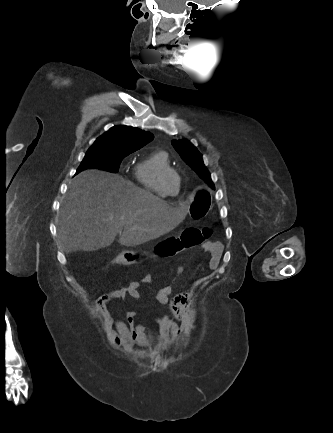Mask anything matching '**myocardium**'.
Returning a JSON list of instances; mask_svg holds the SVG:
<instances>
[{"label": "myocardium", "mask_w": 333, "mask_h": 433, "mask_svg": "<svg viewBox=\"0 0 333 433\" xmlns=\"http://www.w3.org/2000/svg\"><path fill=\"white\" fill-rule=\"evenodd\" d=\"M170 174L175 175L176 178H177V181H178V179H180L179 173H178L175 169H173V168H171V167H170V168H166V169H164V170L161 172L160 177H159V181H160L161 187H162L163 191H164L168 196H172V195H173V194H171V193H169V192L167 191V189H166V184H165V180H166L167 176L170 175Z\"/></svg>", "instance_id": "myocardium-1"}]
</instances>
